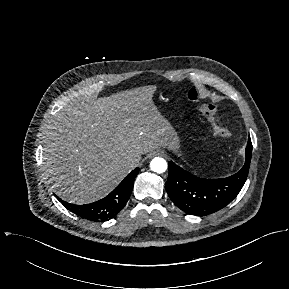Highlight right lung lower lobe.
I'll use <instances>...</instances> for the list:
<instances>
[{
  "label": "right lung lower lobe",
  "mask_w": 289,
  "mask_h": 289,
  "mask_svg": "<svg viewBox=\"0 0 289 289\" xmlns=\"http://www.w3.org/2000/svg\"><path fill=\"white\" fill-rule=\"evenodd\" d=\"M139 172V168L133 170L127 177L105 198L86 205H73L57 199L69 210L77 215L94 220L102 221L111 218L118 213L128 201L135 177Z\"/></svg>",
  "instance_id": "right-lung-lower-lobe-1"
}]
</instances>
